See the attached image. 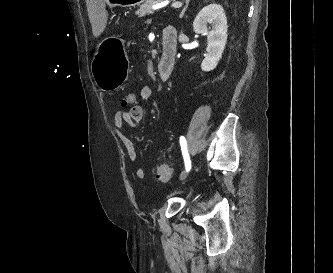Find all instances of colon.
<instances>
[{
	"instance_id": "1",
	"label": "colon",
	"mask_w": 333,
	"mask_h": 273,
	"mask_svg": "<svg viewBox=\"0 0 333 273\" xmlns=\"http://www.w3.org/2000/svg\"><path fill=\"white\" fill-rule=\"evenodd\" d=\"M121 104L123 107H134L137 105V95L134 92H127L123 95ZM171 177V168L168 164H161L157 167L155 179L158 182H167Z\"/></svg>"
}]
</instances>
